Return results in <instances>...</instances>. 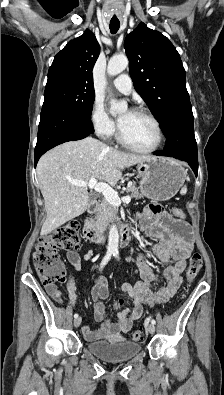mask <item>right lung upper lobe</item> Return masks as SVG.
I'll use <instances>...</instances> for the list:
<instances>
[{
	"label": "right lung upper lobe",
	"mask_w": 224,
	"mask_h": 395,
	"mask_svg": "<svg viewBox=\"0 0 224 395\" xmlns=\"http://www.w3.org/2000/svg\"><path fill=\"white\" fill-rule=\"evenodd\" d=\"M100 54V45L90 30L69 41L54 57L49 77H65L93 86L92 69Z\"/></svg>",
	"instance_id": "cb5924a9"
}]
</instances>
